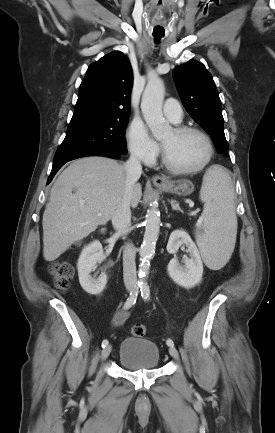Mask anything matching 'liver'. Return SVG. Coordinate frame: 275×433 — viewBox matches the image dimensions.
Wrapping results in <instances>:
<instances>
[{
  "label": "liver",
  "instance_id": "obj_1",
  "mask_svg": "<svg viewBox=\"0 0 275 433\" xmlns=\"http://www.w3.org/2000/svg\"><path fill=\"white\" fill-rule=\"evenodd\" d=\"M125 187L124 166L114 159L92 156L71 163L52 186L43 214L44 259L56 260L73 243L105 225L120 203ZM141 189L140 184L133 187V208L142 197Z\"/></svg>",
  "mask_w": 275,
  "mask_h": 433
}]
</instances>
